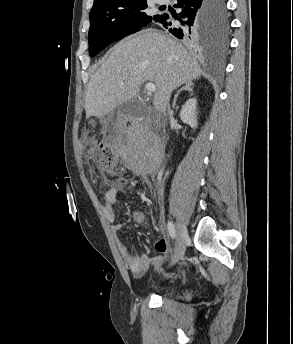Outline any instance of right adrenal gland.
<instances>
[{
    "mask_svg": "<svg viewBox=\"0 0 293 344\" xmlns=\"http://www.w3.org/2000/svg\"><path fill=\"white\" fill-rule=\"evenodd\" d=\"M192 86H193V83L189 82V83H186L181 89H179L177 91V93L174 96V100H173V105H172L173 108H175V106H176V101H177L178 95L181 93V91L185 90V91H188V92H193Z\"/></svg>",
    "mask_w": 293,
    "mask_h": 344,
    "instance_id": "1",
    "label": "right adrenal gland"
}]
</instances>
